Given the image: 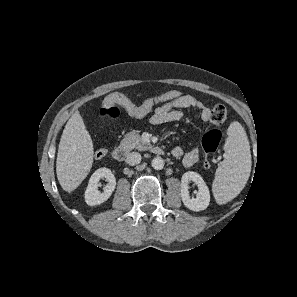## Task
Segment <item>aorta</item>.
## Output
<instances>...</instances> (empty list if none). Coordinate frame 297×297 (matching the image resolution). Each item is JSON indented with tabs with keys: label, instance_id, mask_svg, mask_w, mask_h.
Wrapping results in <instances>:
<instances>
[{
	"label": "aorta",
	"instance_id": "1",
	"mask_svg": "<svg viewBox=\"0 0 297 297\" xmlns=\"http://www.w3.org/2000/svg\"><path fill=\"white\" fill-rule=\"evenodd\" d=\"M151 164H152V167H153L155 170H161V169H163V167H164V161H163V159L160 158V157H155V158L152 160Z\"/></svg>",
	"mask_w": 297,
	"mask_h": 297
}]
</instances>
